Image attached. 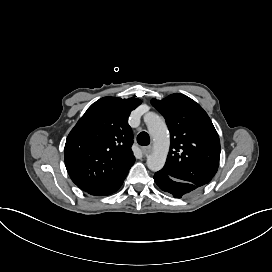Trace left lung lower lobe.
Here are the masks:
<instances>
[{
    "label": "left lung lower lobe",
    "instance_id": "obj_1",
    "mask_svg": "<svg viewBox=\"0 0 272 272\" xmlns=\"http://www.w3.org/2000/svg\"><path fill=\"white\" fill-rule=\"evenodd\" d=\"M154 181L161 190L175 198H181L200 188L192 183L175 179L161 170L155 173Z\"/></svg>",
    "mask_w": 272,
    "mask_h": 272
}]
</instances>
